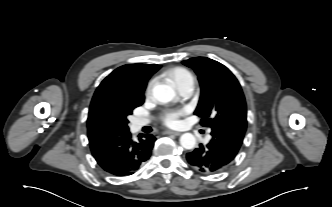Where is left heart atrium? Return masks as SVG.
Wrapping results in <instances>:
<instances>
[{
	"label": "left heart atrium",
	"mask_w": 332,
	"mask_h": 207,
	"mask_svg": "<svg viewBox=\"0 0 332 207\" xmlns=\"http://www.w3.org/2000/svg\"><path fill=\"white\" fill-rule=\"evenodd\" d=\"M185 113V110L170 111L164 115L163 122L169 127H176L180 124V116Z\"/></svg>",
	"instance_id": "1"
}]
</instances>
